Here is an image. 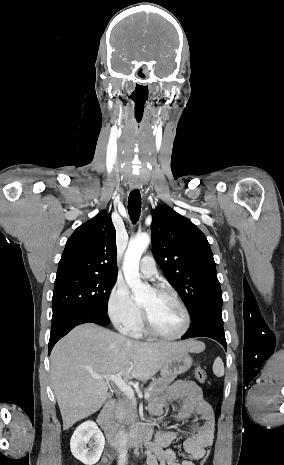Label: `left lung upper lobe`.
Segmentation results:
<instances>
[{
    "instance_id": "1",
    "label": "left lung upper lobe",
    "mask_w": 284,
    "mask_h": 465,
    "mask_svg": "<svg viewBox=\"0 0 284 465\" xmlns=\"http://www.w3.org/2000/svg\"><path fill=\"white\" fill-rule=\"evenodd\" d=\"M152 215L153 255L186 302L191 319L208 309L221 310V287L206 236L167 206H158Z\"/></svg>"
}]
</instances>
